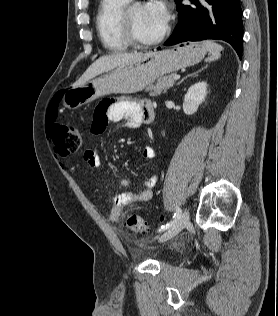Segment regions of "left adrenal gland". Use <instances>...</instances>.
<instances>
[{
	"label": "left adrenal gland",
	"mask_w": 278,
	"mask_h": 316,
	"mask_svg": "<svg viewBox=\"0 0 278 316\" xmlns=\"http://www.w3.org/2000/svg\"><path fill=\"white\" fill-rule=\"evenodd\" d=\"M204 68H202V69H200V70H198L197 72H195V73H192V74H190V75H188V76H186L185 78H183L177 85H180L187 77H192V76H195V75H197V73L198 72H200V71H202Z\"/></svg>",
	"instance_id": "a2214340"
}]
</instances>
